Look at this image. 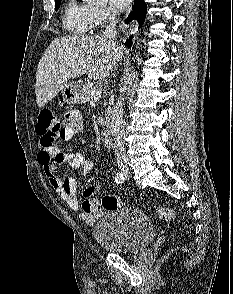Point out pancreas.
I'll list each match as a JSON object with an SVG mask.
<instances>
[{
    "label": "pancreas",
    "mask_w": 233,
    "mask_h": 294,
    "mask_svg": "<svg viewBox=\"0 0 233 294\" xmlns=\"http://www.w3.org/2000/svg\"><path fill=\"white\" fill-rule=\"evenodd\" d=\"M93 88V86L91 85V83H85L81 89V93H82V101L84 103L86 102H90L91 99L93 98L91 96V89Z\"/></svg>",
    "instance_id": "1"
}]
</instances>
